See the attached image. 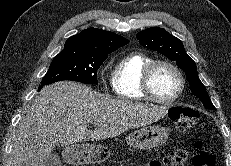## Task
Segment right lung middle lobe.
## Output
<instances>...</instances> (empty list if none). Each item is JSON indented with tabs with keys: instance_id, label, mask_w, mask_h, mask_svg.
<instances>
[{
	"instance_id": "right-lung-middle-lobe-1",
	"label": "right lung middle lobe",
	"mask_w": 231,
	"mask_h": 166,
	"mask_svg": "<svg viewBox=\"0 0 231 166\" xmlns=\"http://www.w3.org/2000/svg\"><path fill=\"white\" fill-rule=\"evenodd\" d=\"M106 56H90L71 51H61L52 60L41 85L71 80L86 84L97 83V71Z\"/></svg>"
}]
</instances>
